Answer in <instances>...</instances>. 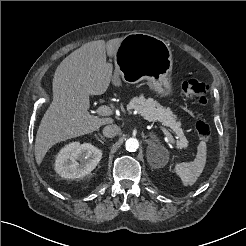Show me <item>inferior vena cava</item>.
<instances>
[{
    "label": "inferior vena cava",
    "mask_w": 246,
    "mask_h": 246,
    "mask_svg": "<svg viewBox=\"0 0 246 246\" xmlns=\"http://www.w3.org/2000/svg\"><path fill=\"white\" fill-rule=\"evenodd\" d=\"M120 130V127L115 124L107 125L103 128V135L105 137L112 138L118 135Z\"/></svg>",
    "instance_id": "inferior-vena-cava-1"
}]
</instances>
